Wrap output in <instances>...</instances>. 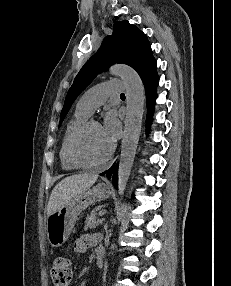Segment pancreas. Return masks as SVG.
<instances>
[{
  "label": "pancreas",
  "mask_w": 231,
  "mask_h": 286,
  "mask_svg": "<svg viewBox=\"0 0 231 286\" xmlns=\"http://www.w3.org/2000/svg\"><path fill=\"white\" fill-rule=\"evenodd\" d=\"M97 213L91 212L90 215L87 216L85 221L84 230L87 231L88 229L96 228V226L102 223L101 219H97Z\"/></svg>",
  "instance_id": "pancreas-1"
}]
</instances>
